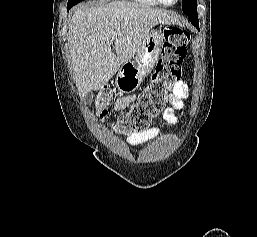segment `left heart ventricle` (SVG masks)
<instances>
[{"instance_id":"1","label":"left heart ventricle","mask_w":257,"mask_h":237,"mask_svg":"<svg viewBox=\"0 0 257 237\" xmlns=\"http://www.w3.org/2000/svg\"><path fill=\"white\" fill-rule=\"evenodd\" d=\"M166 3H173L175 0H164Z\"/></svg>"}]
</instances>
